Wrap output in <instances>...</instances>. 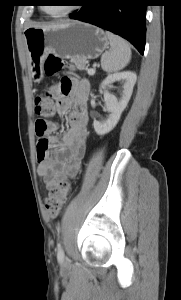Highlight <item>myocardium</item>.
Here are the masks:
<instances>
[{
	"mask_svg": "<svg viewBox=\"0 0 181 300\" xmlns=\"http://www.w3.org/2000/svg\"><path fill=\"white\" fill-rule=\"evenodd\" d=\"M78 8L77 4H72L69 5L68 9H66L65 11L59 13V14H50L47 12V10L45 9V6H42V11L49 17L51 18H62V17H66L71 15L72 13H74L76 11V9Z\"/></svg>",
	"mask_w": 181,
	"mask_h": 300,
	"instance_id": "myocardium-1",
	"label": "myocardium"
}]
</instances>
